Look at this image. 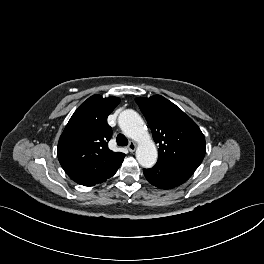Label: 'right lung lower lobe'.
I'll return each instance as SVG.
<instances>
[{
  "label": "right lung lower lobe",
  "mask_w": 264,
  "mask_h": 264,
  "mask_svg": "<svg viewBox=\"0 0 264 264\" xmlns=\"http://www.w3.org/2000/svg\"><path fill=\"white\" fill-rule=\"evenodd\" d=\"M122 162H123V160L121 162L117 163L110 170H108L106 173H104L103 175L99 176L95 180L84 184V186H94V185H96L98 183L105 182L108 178H110L111 176H113L116 173V171L118 170V168L120 167Z\"/></svg>",
  "instance_id": "right-lung-lower-lobe-1"
}]
</instances>
